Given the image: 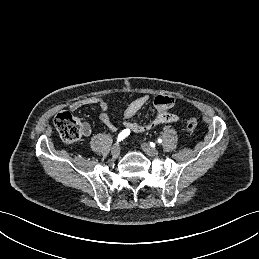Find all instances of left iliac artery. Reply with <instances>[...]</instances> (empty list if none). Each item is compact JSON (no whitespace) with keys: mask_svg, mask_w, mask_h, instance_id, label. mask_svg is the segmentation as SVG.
Wrapping results in <instances>:
<instances>
[{"mask_svg":"<svg viewBox=\"0 0 259 259\" xmlns=\"http://www.w3.org/2000/svg\"><path fill=\"white\" fill-rule=\"evenodd\" d=\"M157 141H158V143H162V139H160V138Z\"/></svg>","mask_w":259,"mask_h":259,"instance_id":"44dca946","label":"left iliac artery"}]
</instances>
